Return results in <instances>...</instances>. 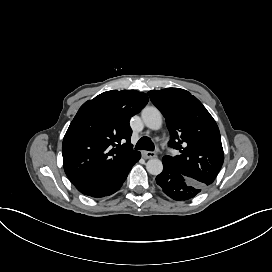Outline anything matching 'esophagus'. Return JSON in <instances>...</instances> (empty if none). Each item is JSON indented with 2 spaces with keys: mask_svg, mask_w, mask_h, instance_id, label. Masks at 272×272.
<instances>
[{
  "mask_svg": "<svg viewBox=\"0 0 272 272\" xmlns=\"http://www.w3.org/2000/svg\"><path fill=\"white\" fill-rule=\"evenodd\" d=\"M141 155L144 159L154 158L157 156L155 152H151V151H142Z\"/></svg>",
  "mask_w": 272,
  "mask_h": 272,
  "instance_id": "obj_1",
  "label": "esophagus"
}]
</instances>
